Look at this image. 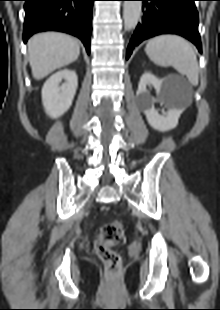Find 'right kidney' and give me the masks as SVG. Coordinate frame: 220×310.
Wrapping results in <instances>:
<instances>
[{
    "instance_id": "ca27d5eb",
    "label": "right kidney",
    "mask_w": 220,
    "mask_h": 310,
    "mask_svg": "<svg viewBox=\"0 0 220 310\" xmlns=\"http://www.w3.org/2000/svg\"><path fill=\"white\" fill-rule=\"evenodd\" d=\"M65 81L61 86L60 83ZM77 75L70 69L60 70L44 83L42 102L47 115L56 119L72 105L77 90Z\"/></svg>"
}]
</instances>
